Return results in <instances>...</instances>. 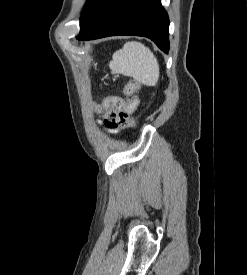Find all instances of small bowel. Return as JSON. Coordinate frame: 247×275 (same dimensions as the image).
<instances>
[{
	"label": "small bowel",
	"mask_w": 247,
	"mask_h": 275,
	"mask_svg": "<svg viewBox=\"0 0 247 275\" xmlns=\"http://www.w3.org/2000/svg\"><path fill=\"white\" fill-rule=\"evenodd\" d=\"M98 123H99V124H101V123H102V121H101V120H99V121H98ZM107 131H108L109 133H117V132H118V130H117V129H111V128H108V129H107Z\"/></svg>",
	"instance_id": "c3829d8e"
}]
</instances>
